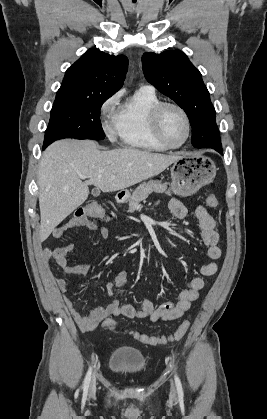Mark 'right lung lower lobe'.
Wrapping results in <instances>:
<instances>
[{"label": "right lung lower lobe", "mask_w": 267, "mask_h": 419, "mask_svg": "<svg viewBox=\"0 0 267 419\" xmlns=\"http://www.w3.org/2000/svg\"><path fill=\"white\" fill-rule=\"evenodd\" d=\"M50 143L44 141L43 149H45Z\"/></svg>", "instance_id": "obj_1"}]
</instances>
